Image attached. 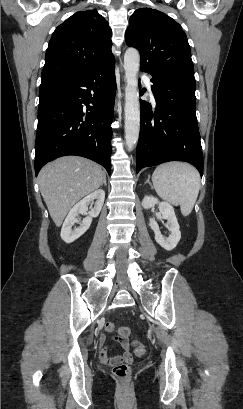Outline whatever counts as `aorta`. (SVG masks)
Here are the masks:
<instances>
[{
    "label": "aorta",
    "instance_id": "obj_1",
    "mask_svg": "<svg viewBox=\"0 0 243 409\" xmlns=\"http://www.w3.org/2000/svg\"><path fill=\"white\" fill-rule=\"evenodd\" d=\"M140 55L134 48H128L124 55L125 70V140L128 150L133 149L139 138L140 103L137 74Z\"/></svg>",
    "mask_w": 243,
    "mask_h": 409
}]
</instances>
